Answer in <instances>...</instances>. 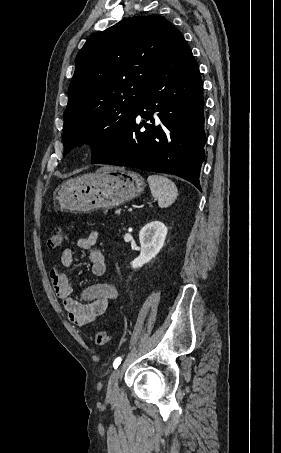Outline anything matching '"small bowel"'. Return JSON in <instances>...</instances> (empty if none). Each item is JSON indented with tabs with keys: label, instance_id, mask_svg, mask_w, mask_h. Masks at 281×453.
I'll return each instance as SVG.
<instances>
[{
	"label": "small bowel",
	"instance_id": "obj_1",
	"mask_svg": "<svg viewBox=\"0 0 281 453\" xmlns=\"http://www.w3.org/2000/svg\"><path fill=\"white\" fill-rule=\"evenodd\" d=\"M98 237L99 232L94 230L87 237L77 241L78 248L90 257L89 272L94 277L104 276L106 273L104 255L94 246ZM73 263L74 253L71 249H66L61 255L60 263L52 265L49 275L54 284L55 294L63 301L69 319L77 326H85L102 315L119 294L111 285H94L82 289L80 293L82 301L73 298L71 284L65 273V269L72 268Z\"/></svg>",
	"mask_w": 281,
	"mask_h": 453
}]
</instances>
